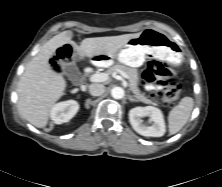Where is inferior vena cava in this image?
I'll list each match as a JSON object with an SVG mask.
<instances>
[{
  "label": "inferior vena cava",
  "mask_w": 222,
  "mask_h": 187,
  "mask_svg": "<svg viewBox=\"0 0 222 187\" xmlns=\"http://www.w3.org/2000/svg\"><path fill=\"white\" fill-rule=\"evenodd\" d=\"M89 92L92 96H100L105 92V86L103 84H91Z\"/></svg>",
  "instance_id": "1"
}]
</instances>
